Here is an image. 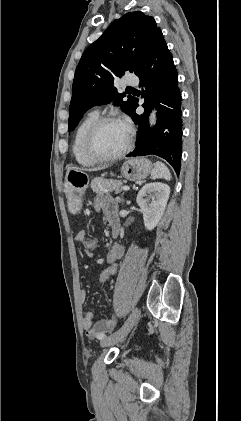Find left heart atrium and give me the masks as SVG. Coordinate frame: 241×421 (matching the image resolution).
I'll return each mask as SVG.
<instances>
[{
	"instance_id": "1",
	"label": "left heart atrium",
	"mask_w": 241,
	"mask_h": 421,
	"mask_svg": "<svg viewBox=\"0 0 241 421\" xmlns=\"http://www.w3.org/2000/svg\"><path fill=\"white\" fill-rule=\"evenodd\" d=\"M127 128L129 127V122L127 119L121 121Z\"/></svg>"
}]
</instances>
